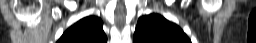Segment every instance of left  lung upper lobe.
Here are the masks:
<instances>
[{"instance_id":"5c2ea615","label":"left lung upper lobe","mask_w":256,"mask_h":43,"mask_svg":"<svg viewBox=\"0 0 256 43\" xmlns=\"http://www.w3.org/2000/svg\"><path fill=\"white\" fill-rule=\"evenodd\" d=\"M133 41L134 43H191L179 26L154 13L139 18Z\"/></svg>"}]
</instances>
